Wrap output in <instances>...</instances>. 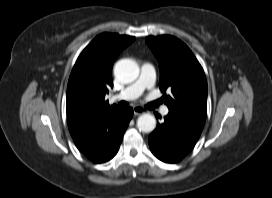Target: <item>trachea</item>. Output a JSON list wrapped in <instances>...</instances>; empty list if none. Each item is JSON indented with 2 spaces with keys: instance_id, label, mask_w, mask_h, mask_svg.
<instances>
[{
  "instance_id": "trachea-1",
  "label": "trachea",
  "mask_w": 272,
  "mask_h": 198,
  "mask_svg": "<svg viewBox=\"0 0 272 198\" xmlns=\"http://www.w3.org/2000/svg\"><path fill=\"white\" fill-rule=\"evenodd\" d=\"M119 106H120V107H127V106H128V103L125 102V101H120V102H119Z\"/></svg>"
}]
</instances>
